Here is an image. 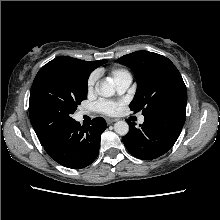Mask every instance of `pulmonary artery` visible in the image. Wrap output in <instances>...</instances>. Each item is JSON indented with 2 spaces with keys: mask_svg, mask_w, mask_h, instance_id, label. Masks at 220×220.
I'll return each instance as SVG.
<instances>
[{
  "mask_svg": "<svg viewBox=\"0 0 220 220\" xmlns=\"http://www.w3.org/2000/svg\"><path fill=\"white\" fill-rule=\"evenodd\" d=\"M132 82V77L130 74H124L117 77L114 81L115 88L118 94H123ZM86 114V112H81V115ZM138 122L142 124L144 122V116H140Z\"/></svg>",
  "mask_w": 220,
  "mask_h": 220,
  "instance_id": "1",
  "label": "pulmonary artery"
}]
</instances>
